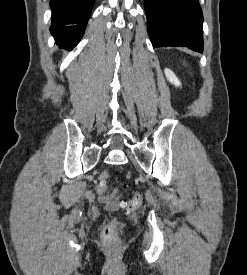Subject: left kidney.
<instances>
[{
  "mask_svg": "<svg viewBox=\"0 0 247 275\" xmlns=\"http://www.w3.org/2000/svg\"><path fill=\"white\" fill-rule=\"evenodd\" d=\"M164 73H165L167 80L171 84L175 85L176 87H179L181 85V82L179 81L177 76L170 69H165Z\"/></svg>",
  "mask_w": 247,
  "mask_h": 275,
  "instance_id": "5707ae66",
  "label": "left kidney"
}]
</instances>
